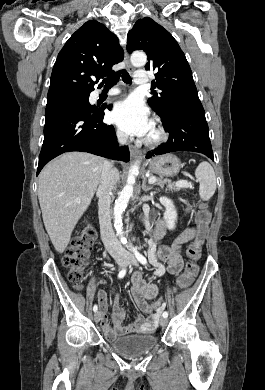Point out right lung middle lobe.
<instances>
[{"instance_id": "obj_1", "label": "right lung middle lobe", "mask_w": 265, "mask_h": 390, "mask_svg": "<svg viewBox=\"0 0 265 390\" xmlns=\"http://www.w3.org/2000/svg\"><path fill=\"white\" fill-rule=\"evenodd\" d=\"M62 103H75V104H82L91 107L89 103V94L71 95V96H66V97L47 101V105L62 104Z\"/></svg>"}]
</instances>
